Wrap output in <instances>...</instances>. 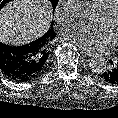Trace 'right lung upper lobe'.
<instances>
[{
	"label": "right lung upper lobe",
	"mask_w": 118,
	"mask_h": 118,
	"mask_svg": "<svg viewBox=\"0 0 118 118\" xmlns=\"http://www.w3.org/2000/svg\"><path fill=\"white\" fill-rule=\"evenodd\" d=\"M56 36L53 28L51 29L39 39L31 42V47L35 51L36 55V70L42 71L45 68L46 61L49 54V48L51 47V42L53 38Z\"/></svg>",
	"instance_id": "obj_1"
}]
</instances>
